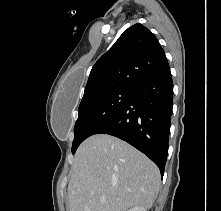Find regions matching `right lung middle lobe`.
<instances>
[{"label": "right lung middle lobe", "mask_w": 221, "mask_h": 211, "mask_svg": "<svg viewBox=\"0 0 221 211\" xmlns=\"http://www.w3.org/2000/svg\"><path fill=\"white\" fill-rule=\"evenodd\" d=\"M130 95L131 88H119L81 101L74 127L73 154L86 138L96 134L120 111Z\"/></svg>", "instance_id": "obj_1"}]
</instances>
